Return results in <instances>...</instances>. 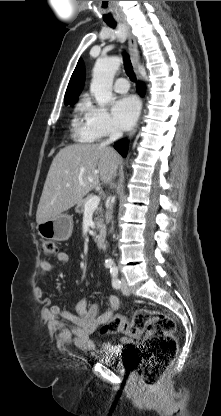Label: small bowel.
Wrapping results in <instances>:
<instances>
[{
  "label": "small bowel",
  "instance_id": "c3829d8e",
  "mask_svg": "<svg viewBox=\"0 0 221 416\" xmlns=\"http://www.w3.org/2000/svg\"><path fill=\"white\" fill-rule=\"evenodd\" d=\"M56 258L60 265L66 264L70 259L64 251L57 252ZM38 264L42 274L55 269L54 264L43 259H40ZM108 306V309L100 312L98 304H90L87 297H82L76 305V314L53 305L44 311V317L49 326L58 332L60 342L73 345L80 350H91L96 346L93 339L96 330L119 310V298L115 295L109 296ZM113 346L112 343H105L103 349L110 352Z\"/></svg>",
  "mask_w": 221,
  "mask_h": 416
}]
</instances>
